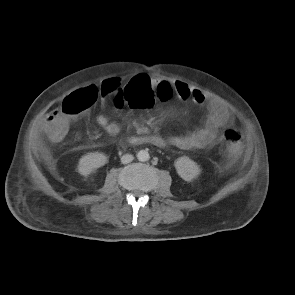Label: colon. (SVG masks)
Wrapping results in <instances>:
<instances>
[{"instance_id":"1","label":"colon","mask_w":295,"mask_h":295,"mask_svg":"<svg viewBox=\"0 0 295 295\" xmlns=\"http://www.w3.org/2000/svg\"><path fill=\"white\" fill-rule=\"evenodd\" d=\"M101 92L112 95L116 104L125 102L131 110H153L156 102H168L173 95L170 86L159 87H126L118 80L107 81L101 87ZM98 89L88 86L66 96L55 111V119L47 130L48 136L54 141L62 140L68 133L71 120L88 110L96 101ZM226 151L235 157L241 150L243 143L242 134L234 128L223 132Z\"/></svg>"}]
</instances>
